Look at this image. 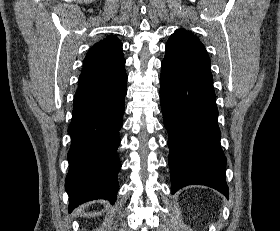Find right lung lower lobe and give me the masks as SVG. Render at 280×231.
Masks as SVG:
<instances>
[{
	"instance_id": "98d812e1",
	"label": "right lung lower lobe",
	"mask_w": 280,
	"mask_h": 231,
	"mask_svg": "<svg viewBox=\"0 0 280 231\" xmlns=\"http://www.w3.org/2000/svg\"><path fill=\"white\" fill-rule=\"evenodd\" d=\"M126 92L124 85L91 100L73 103L65 181L69 212L87 201L105 199L113 204L116 200L121 168L117 148Z\"/></svg>"
}]
</instances>
